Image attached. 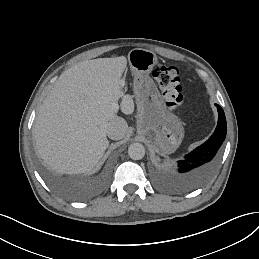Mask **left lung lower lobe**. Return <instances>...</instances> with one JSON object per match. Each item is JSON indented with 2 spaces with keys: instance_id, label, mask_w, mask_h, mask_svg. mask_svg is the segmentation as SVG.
<instances>
[{
  "instance_id": "1",
  "label": "left lung lower lobe",
  "mask_w": 259,
  "mask_h": 259,
  "mask_svg": "<svg viewBox=\"0 0 259 259\" xmlns=\"http://www.w3.org/2000/svg\"><path fill=\"white\" fill-rule=\"evenodd\" d=\"M219 113L218 125L213 135L201 146L179 160L175 171L159 172L161 179L169 182H190L208 175L216 166L217 154L226 136V118L223 109L215 104Z\"/></svg>"
}]
</instances>
